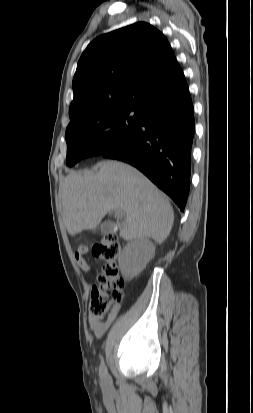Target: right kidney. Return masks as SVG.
<instances>
[{
	"instance_id": "right-kidney-1",
	"label": "right kidney",
	"mask_w": 253,
	"mask_h": 413,
	"mask_svg": "<svg viewBox=\"0 0 253 413\" xmlns=\"http://www.w3.org/2000/svg\"><path fill=\"white\" fill-rule=\"evenodd\" d=\"M155 246L147 238L129 242L118 256L119 267L127 279H132L146 267L154 257Z\"/></svg>"
}]
</instances>
